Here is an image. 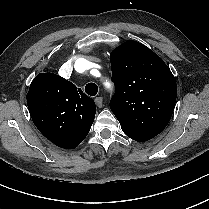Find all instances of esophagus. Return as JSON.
Here are the masks:
<instances>
[{
	"instance_id": "1",
	"label": "esophagus",
	"mask_w": 209,
	"mask_h": 209,
	"mask_svg": "<svg viewBox=\"0 0 209 209\" xmlns=\"http://www.w3.org/2000/svg\"><path fill=\"white\" fill-rule=\"evenodd\" d=\"M94 101H95L97 107H99V108H102L103 107V98L102 97H100V96L99 97H96L94 99Z\"/></svg>"
}]
</instances>
